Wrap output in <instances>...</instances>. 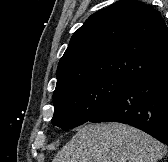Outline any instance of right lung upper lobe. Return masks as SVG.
I'll use <instances>...</instances> for the list:
<instances>
[{"mask_svg":"<svg viewBox=\"0 0 168 162\" xmlns=\"http://www.w3.org/2000/svg\"><path fill=\"white\" fill-rule=\"evenodd\" d=\"M168 64V28L138 0H121L92 14L71 37L57 68L54 92L105 75L135 79Z\"/></svg>","mask_w":168,"mask_h":162,"instance_id":"cb5924a9","label":"right lung upper lobe"}]
</instances>
